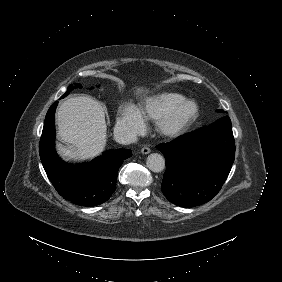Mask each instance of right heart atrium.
<instances>
[{
  "label": "right heart atrium",
  "instance_id": "obj_1",
  "mask_svg": "<svg viewBox=\"0 0 282 282\" xmlns=\"http://www.w3.org/2000/svg\"><path fill=\"white\" fill-rule=\"evenodd\" d=\"M116 128L120 133H124L130 138H134L145 128V121L142 113L133 106L124 109L121 117L118 119Z\"/></svg>",
  "mask_w": 282,
  "mask_h": 282
}]
</instances>
